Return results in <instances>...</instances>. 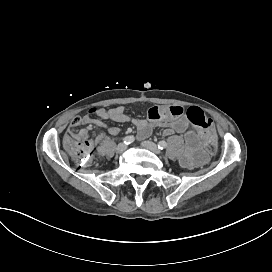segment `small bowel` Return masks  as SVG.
<instances>
[{
  "label": "small bowel",
  "instance_id": "1",
  "mask_svg": "<svg viewBox=\"0 0 272 272\" xmlns=\"http://www.w3.org/2000/svg\"><path fill=\"white\" fill-rule=\"evenodd\" d=\"M104 120L134 124L141 139L147 138L155 126L163 127L166 136L173 133L183 134L185 147L181 156V165L187 169H194L205 162L206 155L199 148V136L190 128L187 113L183 107L178 105L151 107L148 110L147 119L131 118L125 113L122 106L111 109L92 107L86 114L73 118L69 134L65 136L64 140L70 135L79 138L83 133H88L86 130H81L78 134H73L72 129L79 125L106 128L111 135L120 133L117 126H107Z\"/></svg>",
  "mask_w": 272,
  "mask_h": 272
}]
</instances>
